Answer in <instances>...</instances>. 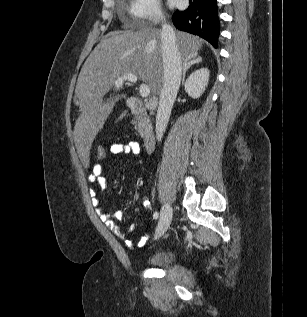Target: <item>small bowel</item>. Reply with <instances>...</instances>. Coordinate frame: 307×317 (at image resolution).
<instances>
[{
	"label": "small bowel",
	"mask_w": 307,
	"mask_h": 317,
	"mask_svg": "<svg viewBox=\"0 0 307 317\" xmlns=\"http://www.w3.org/2000/svg\"><path fill=\"white\" fill-rule=\"evenodd\" d=\"M110 152L114 155H141V146L136 141H129L126 143H114L110 147ZM89 181L91 183L97 184L103 191L107 190V179L103 166L99 163L94 164L92 166V171L89 176ZM93 204L97 207V213L101 220L106 223V225L116 234L118 238L125 241V244L128 248L134 249L135 243L129 239H127V235L125 232L121 231L114 223V221H119L123 218V212L121 210L114 211L112 213L105 212L99 207V200L94 193ZM149 237L143 238L139 245L143 246L147 243Z\"/></svg>",
	"instance_id": "obj_1"
}]
</instances>
